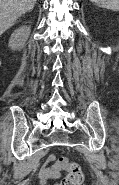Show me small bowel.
<instances>
[{"label": "small bowel", "mask_w": 119, "mask_h": 185, "mask_svg": "<svg viewBox=\"0 0 119 185\" xmlns=\"http://www.w3.org/2000/svg\"><path fill=\"white\" fill-rule=\"evenodd\" d=\"M61 167L58 164L54 154H50L46 164L41 168L39 172L40 185H45L49 179L61 178Z\"/></svg>", "instance_id": "1"}]
</instances>
